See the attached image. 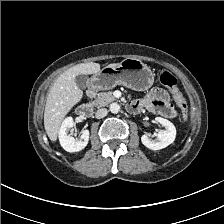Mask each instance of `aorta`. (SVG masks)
Listing matches in <instances>:
<instances>
[{"instance_id":"obj_1","label":"aorta","mask_w":224,"mask_h":224,"mask_svg":"<svg viewBox=\"0 0 224 224\" xmlns=\"http://www.w3.org/2000/svg\"><path fill=\"white\" fill-rule=\"evenodd\" d=\"M111 113H118L120 111V105L118 103H112L109 107Z\"/></svg>"}]
</instances>
